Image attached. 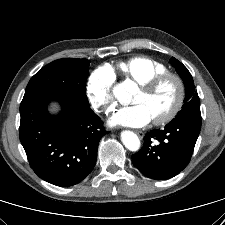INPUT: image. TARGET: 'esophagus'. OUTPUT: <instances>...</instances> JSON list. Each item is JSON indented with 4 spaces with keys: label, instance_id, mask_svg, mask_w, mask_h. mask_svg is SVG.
Here are the masks:
<instances>
[{
    "label": "esophagus",
    "instance_id": "34e87169",
    "mask_svg": "<svg viewBox=\"0 0 225 225\" xmlns=\"http://www.w3.org/2000/svg\"><path fill=\"white\" fill-rule=\"evenodd\" d=\"M136 134L138 135V137L140 139H142L144 137V133L142 131H140V130H136Z\"/></svg>",
    "mask_w": 225,
    "mask_h": 225
}]
</instances>
